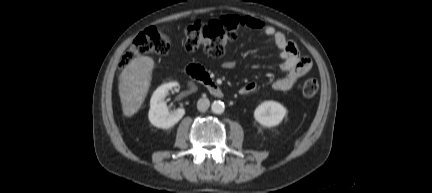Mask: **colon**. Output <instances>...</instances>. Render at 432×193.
I'll return each instance as SVG.
<instances>
[{
	"label": "colon",
	"mask_w": 432,
	"mask_h": 193,
	"mask_svg": "<svg viewBox=\"0 0 432 193\" xmlns=\"http://www.w3.org/2000/svg\"><path fill=\"white\" fill-rule=\"evenodd\" d=\"M185 48L187 51L202 49L212 57L223 56L229 44L235 39L236 28L222 20L189 22L185 26ZM171 47L170 39L158 28L149 27L138 34L129 49L122 56L120 67H127L137 56L145 54H166ZM319 89L315 78H308L302 86L305 97H313Z\"/></svg>",
	"instance_id": "1"
}]
</instances>
